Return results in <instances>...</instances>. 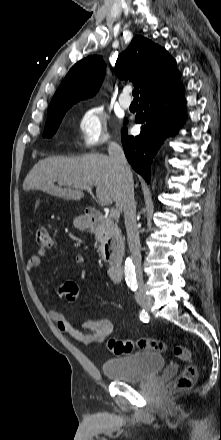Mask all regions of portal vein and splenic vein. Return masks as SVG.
I'll return each instance as SVG.
<instances>
[{
	"mask_svg": "<svg viewBox=\"0 0 221 440\" xmlns=\"http://www.w3.org/2000/svg\"><path fill=\"white\" fill-rule=\"evenodd\" d=\"M83 190H86V191H88V192H91L92 191V189H91V187H89V186H83V187H81ZM120 217V211L118 210V209H114V208H112L111 210H110V218L111 219H118Z\"/></svg>",
	"mask_w": 221,
	"mask_h": 440,
	"instance_id": "1",
	"label": "portal vein and splenic vein"
}]
</instances>
